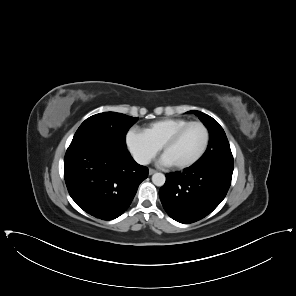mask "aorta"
Instances as JSON below:
<instances>
[{
	"mask_svg": "<svg viewBox=\"0 0 296 296\" xmlns=\"http://www.w3.org/2000/svg\"><path fill=\"white\" fill-rule=\"evenodd\" d=\"M166 178L163 173H155L152 176V182L156 186H163L165 184Z\"/></svg>",
	"mask_w": 296,
	"mask_h": 296,
	"instance_id": "aorta-1",
	"label": "aorta"
}]
</instances>
